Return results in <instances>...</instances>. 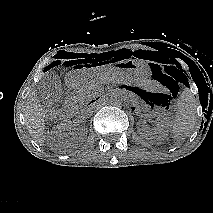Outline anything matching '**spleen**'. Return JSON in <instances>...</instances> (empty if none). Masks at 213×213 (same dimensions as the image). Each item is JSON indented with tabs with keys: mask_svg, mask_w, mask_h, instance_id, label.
I'll use <instances>...</instances> for the list:
<instances>
[{
	"mask_svg": "<svg viewBox=\"0 0 213 213\" xmlns=\"http://www.w3.org/2000/svg\"><path fill=\"white\" fill-rule=\"evenodd\" d=\"M198 100L189 89H185L177 104V112L171 129L174 141L184 140L195 128L197 123Z\"/></svg>",
	"mask_w": 213,
	"mask_h": 213,
	"instance_id": "obj_1",
	"label": "spleen"
}]
</instances>
